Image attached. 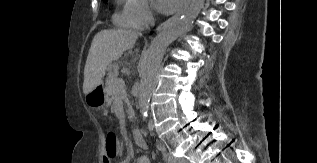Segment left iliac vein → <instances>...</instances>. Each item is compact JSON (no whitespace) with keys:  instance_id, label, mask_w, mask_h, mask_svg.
<instances>
[{"instance_id":"obj_1","label":"left iliac vein","mask_w":317,"mask_h":163,"mask_svg":"<svg viewBox=\"0 0 317 163\" xmlns=\"http://www.w3.org/2000/svg\"><path fill=\"white\" fill-rule=\"evenodd\" d=\"M169 163H178V161L176 159H174V158H171ZM185 163H187V162H185Z\"/></svg>"}]
</instances>
